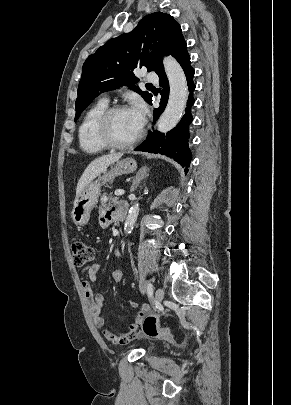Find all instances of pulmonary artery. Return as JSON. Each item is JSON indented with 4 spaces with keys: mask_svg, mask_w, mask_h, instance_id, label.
<instances>
[{
    "mask_svg": "<svg viewBox=\"0 0 291 405\" xmlns=\"http://www.w3.org/2000/svg\"><path fill=\"white\" fill-rule=\"evenodd\" d=\"M146 80L149 81V82H157L158 81V76L154 72H148L146 74ZM105 101H106V99H105Z\"/></svg>",
    "mask_w": 291,
    "mask_h": 405,
    "instance_id": "e3ab8cb5",
    "label": "pulmonary artery"
}]
</instances>
